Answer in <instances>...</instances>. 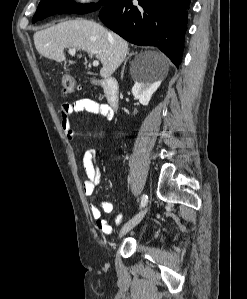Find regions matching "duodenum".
I'll return each instance as SVG.
<instances>
[{"label":"duodenum","mask_w":247,"mask_h":299,"mask_svg":"<svg viewBox=\"0 0 247 299\" xmlns=\"http://www.w3.org/2000/svg\"><path fill=\"white\" fill-rule=\"evenodd\" d=\"M102 87L106 100L112 109H116L119 105V85L116 79L106 78L98 82Z\"/></svg>","instance_id":"410a0bca"}]
</instances>
